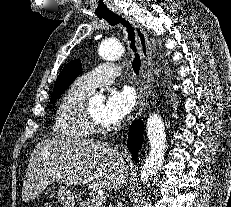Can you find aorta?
Returning <instances> with one entry per match:
<instances>
[{"label":"aorta","mask_w":231,"mask_h":207,"mask_svg":"<svg viewBox=\"0 0 231 207\" xmlns=\"http://www.w3.org/2000/svg\"><path fill=\"white\" fill-rule=\"evenodd\" d=\"M125 53L124 46L115 40L105 39L101 42L98 54L103 60L113 61L120 59ZM94 101H102L103 96L96 95ZM147 136L150 143V152L141 169L140 181L147 184L161 169L166 149V135L161 117L152 114L147 119Z\"/></svg>","instance_id":"762f6f07"}]
</instances>
